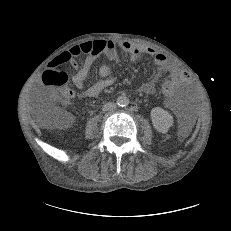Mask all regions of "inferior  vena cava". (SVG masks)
Returning <instances> with one entry per match:
<instances>
[{"instance_id":"obj_1","label":"inferior vena cava","mask_w":231,"mask_h":231,"mask_svg":"<svg viewBox=\"0 0 231 231\" xmlns=\"http://www.w3.org/2000/svg\"><path fill=\"white\" fill-rule=\"evenodd\" d=\"M116 108V104L108 102L103 105V111H113Z\"/></svg>"}]
</instances>
